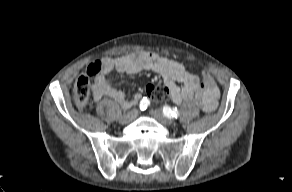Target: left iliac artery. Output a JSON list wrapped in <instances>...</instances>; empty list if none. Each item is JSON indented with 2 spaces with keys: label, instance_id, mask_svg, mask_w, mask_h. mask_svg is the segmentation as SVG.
<instances>
[{
  "label": "left iliac artery",
  "instance_id": "44dca946",
  "mask_svg": "<svg viewBox=\"0 0 292 192\" xmlns=\"http://www.w3.org/2000/svg\"><path fill=\"white\" fill-rule=\"evenodd\" d=\"M163 112H164V115L168 118H178L179 117V111L177 108H170L168 106H165L163 108Z\"/></svg>",
  "mask_w": 292,
  "mask_h": 192
}]
</instances>
